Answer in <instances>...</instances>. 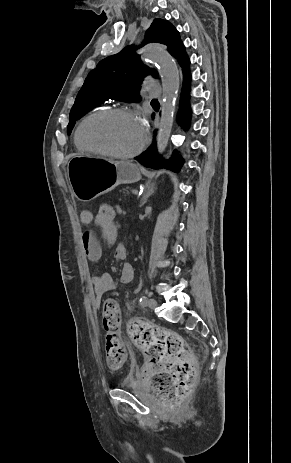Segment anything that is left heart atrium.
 Listing matches in <instances>:
<instances>
[{"label": "left heart atrium", "mask_w": 291, "mask_h": 463, "mask_svg": "<svg viewBox=\"0 0 291 463\" xmlns=\"http://www.w3.org/2000/svg\"><path fill=\"white\" fill-rule=\"evenodd\" d=\"M140 125H141V127H142L143 131H144V130H146V128H145V126H144V124L140 123Z\"/></svg>", "instance_id": "39dd6f15"}]
</instances>
